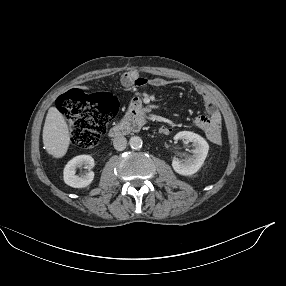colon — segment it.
<instances>
[{"instance_id": "5ec220e1", "label": "colon", "mask_w": 286, "mask_h": 286, "mask_svg": "<svg viewBox=\"0 0 286 286\" xmlns=\"http://www.w3.org/2000/svg\"><path fill=\"white\" fill-rule=\"evenodd\" d=\"M57 108L69 123L72 144L80 149H90L98 143L116 115L118 101L108 93L85 94L71 89L58 97ZM203 136L207 142L219 144L224 131L220 125L211 123L205 127Z\"/></svg>"}]
</instances>
